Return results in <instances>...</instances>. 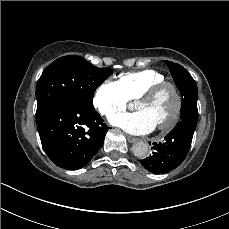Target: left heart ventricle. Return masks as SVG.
Returning a JSON list of instances; mask_svg holds the SVG:
<instances>
[{"label": "left heart ventricle", "mask_w": 229, "mask_h": 229, "mask_svg": "<svg viewBox=\"0 0 229 229\" xmlns=\"http://www.w3.org/2000/svg\"><path fill=\"white\" fill-rule=\"evenodd\" d=\"M172 90L174 89L168 87L163 90L154 100H141L136 103L135 107L138 111L145 112L148 117L153 121L155 126L166 125L168 123H166L165 118L167 115L170 114L169 93ZM177 101L180 106L179 98H177Z\"/></svg>", "instance_id": "1"}]
</instances>
